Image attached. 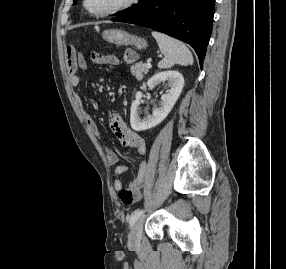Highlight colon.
<instances>
[{
	"label": "colon",
	"instance_id": "obj_1",
	"mask_svg": "<svg viewBox=\"0 0 286 269\" xmlns=\"http://www.w3.org/2000/svg\"><path fill=\"white\" fill-rule=\"evenodd\" d=\"M123 53L126 54V56L122 58V61L126 62V66H131V62H137V59H140L139 49H124ZM115 135L118 139L121 138L120 133L117 132ZM120 197L124 202L129 199V195L126 191H122Z\"/></svg>",
	"mask_w": 286,
	"mask_h": 269
}]
</instances>
